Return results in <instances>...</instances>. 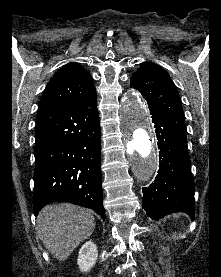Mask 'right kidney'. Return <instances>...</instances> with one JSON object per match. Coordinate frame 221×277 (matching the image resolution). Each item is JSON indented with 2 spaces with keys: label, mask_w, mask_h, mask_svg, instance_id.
Masks as SVG:
<instances>
[{
  "label": "right kidney",
  "mask_w": 221,
  "mask_h": 277,
  "mask_svg": "<svg viewBox=\"0 0 221 277\" xmlns=\"http://www.w3.org/2000/svg\"><path fill=\"white\" fill-rule=\"evenodd\" d=\"M98 250L96 244L87 241L80 249L77 264L81 272H88L96 263Z\"/></svg>",
  "instance_id": "ca27d5eb"
}]
</instances>
